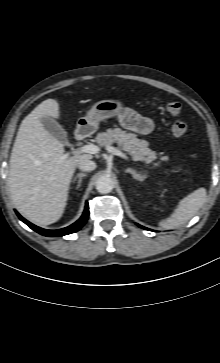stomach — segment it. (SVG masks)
<instances>
[{"mask_svg":"<svg viewBox=\"0 0 220 363\" xmlns=\"http://www.w3.org/2000/svg\"><path fill=\"white\" fill-rule=\"evenodd\" d=\"M122 107L123 103L119 100L99 101L91 107L86 116L78 119L77 126L94 133L101 121L116 116Z\"/></svg>","mask_w":220,"mask_h":363,"instance_id":"stomach-1","label":"stomach"}]
</instances>
